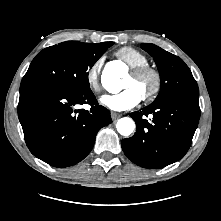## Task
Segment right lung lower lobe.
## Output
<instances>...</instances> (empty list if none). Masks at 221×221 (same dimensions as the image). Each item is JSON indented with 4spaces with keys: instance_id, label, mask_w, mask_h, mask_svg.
I'll return each mask as SVG.
<instances>
[{
    "instance_id": "98d812e1",
    "label": "right lung lower lobe",
    "mask_w": 221,
    "mask_h": 221,
    "mask_svg": "<svg viewBox=\"0 0 221 221\" xmlns=\"http://www.w3.org/2000/svg\"><path fill=\"white\" fill-rule=\"evenodd\" d=\"M90 104V111L74 110ZM18 117L29 150L54 167H68L84 159L97 132L110 124V112L98 105L93 92L72 90L49 82L20 85Z\"/></svg>"
}]
</instances>
